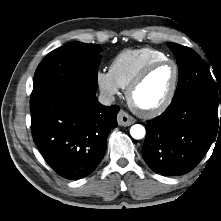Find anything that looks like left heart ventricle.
<instances>
[{
  "instance_id": "obj_1",
  "label": "left heart ventricle",
  "mask_w": 221,
  "mask_h": 221,
  "mask_svg": "<svg viewBox=\"0 0 221 221\" xmlns=\"http://www.w3.org/2000/svg\"><path fill=\"white\" fill-rule=\"evenodd\" d=\"M174 78V68L164 64L154 68L143 83L135 90L133 100L140 108L158 105L167 95Z\"/></svg>"
}]
</instances>
